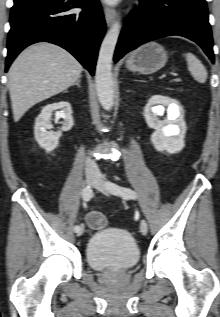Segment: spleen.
Here are the masks:
<instances>
[{
	"mask_svg": "<svg viewBox=\"0 0 220 317\" xmlns=\"http://www.w3.org/2000/svg\"><path fill=\"white\" fill-rule=\"evenodd\" d=\"M184 56L192 77L199 83H205L207 71L201 61L192 53H186Z\"/></svg>",
	"mask_w": 220,
	"mask_h": 317,
	"instance_id": "1",
	"label": "spleen"
}]
</instances>
